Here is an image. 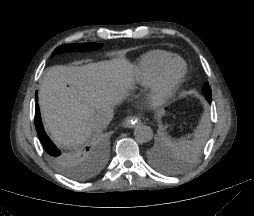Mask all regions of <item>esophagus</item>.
<instances>
[{
  "mask_svg": "<svg viewBox=\"0 0 254 216\" xmlns=\"http://www.w3.org/2000/svg\"><path fill=\"white\" fill-rule=\"evenodd\" d=\"M141 120L136 116H128L121 124L123 128H133L140 124Z\"/></svg>",
  "mask_w": 254,
  "mask_h": 216,
  "instance_id": "esophagus-1",
  "label": "esophagus"
}]
</instances>
